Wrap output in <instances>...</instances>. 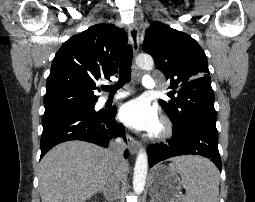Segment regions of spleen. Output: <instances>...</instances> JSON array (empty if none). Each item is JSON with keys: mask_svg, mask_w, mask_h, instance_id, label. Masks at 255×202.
Listing matches in <instances>:
<instances>
[{"mask_svg": "<svg viewBox=\"0 0 255 202\" xmlns=\"http://www.w3.org/2000/svg\"><path fill=\"white\" fill-rule=\"evenodd\" d=\"M180 174L186 195L181 202H219V171L202 157H181L169 164Z\"/></svg>", "mask_w": 255, "mask_h": 202, "instance_id": "obj_1", "label": "spleen"}]
</instances>
